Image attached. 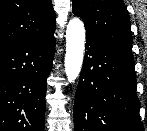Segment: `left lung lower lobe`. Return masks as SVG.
<instances>
[{
	"mask_svg": "<svg viewBox=\"0 0 147 131\" xmlns=\"http://www.w3.org/2000/svg\"><path fill=\"white\" fill-rule=\"evenodd\" d=\"M86 40L74 101L75 131H144L133 56L95 38Z\"/></svg>",
	"mask_w": 147,
	"mask_h": 131,
	"instance_id": "0a47b994",
	"label": "left lung lower lobe"
}]
</instances>
